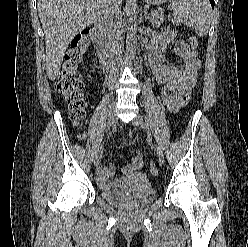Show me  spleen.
<instances>
[{"label":"spleen","mask_w":248,"mask_h":247,"mask_svg":"<svg viewBox=\"0 0 248 247\" xmlns=\"http://www.w3.org/2000/svg\"><path fill=\"white\" fill-rule=\"evenodd\" d=\"M176 6L174 18L206 36L211 23V5L208 0H170Z\"/></svg>","instance_id":"3e777b00"}]
</instances>
